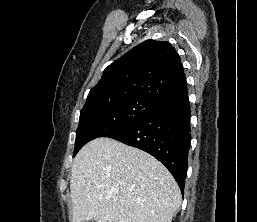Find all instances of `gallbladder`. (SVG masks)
<instances>
[{
	"instance_id": "1",
	"label": "gallbladder",
	"mask_w": 257,
	"mask_h": 222,
	"mask_svg": "<svg viewBox=\"0 0 257 222\" xmlns=\"http://www.w3.org/2000/svg\"><path fill=\"white\" fill-rule=\"evenodd\" d=\"M89 222H95L94 220H90Z\"/></svg>"
}]
</instances>
